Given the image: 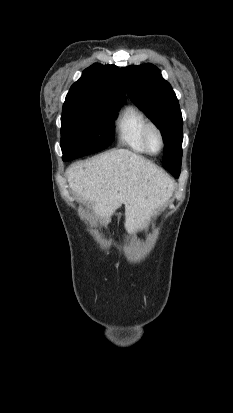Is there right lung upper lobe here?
<instances>
[{
    "label": "right lung upper lobe",
    "mask_w": 233,
    "mask_h": 413,
    "mask_svg": "<svg viewBox=\"0 0 233 413\" xmlns=\"http://www.w3.org/2000/svg\"><path fill=\"white\" fill-rule=\"evenodd\" d=\"M67 97H85L124 101L125 88L119 68L115 65L93 64L70 88Z\"/></svg>",
    "instance_id": "cb5924a9"
}]
</instances>
